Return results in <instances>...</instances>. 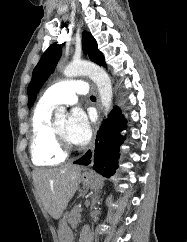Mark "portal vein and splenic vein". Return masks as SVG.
<instances>
[{
	"mask_svg": "<svg viewBox=\"0 0 187 242\" xmlns=\"http://www.w3.org/2000/svg\"><path fill=\"white\" fill-rule=\"evenodd\" d=\"M79 211H80V212H82V211H83V209H82V208H80V209H79Z\"/></svg>",
	"mask_w": 187,
	"mask_h": 242,
	"instance_id": "1",
	"label": "portal vein and splenic vein"
}]
</instances>
